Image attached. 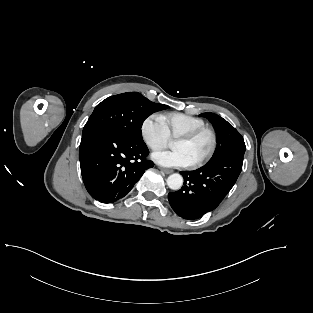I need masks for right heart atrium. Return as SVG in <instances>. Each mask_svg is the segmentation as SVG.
<instances>
[{
  "mask_svg": "<svg viewBox=\"0 0 313 313\" xmlns=\"http://www.w3.org/2000/svg\"><path fill=\"white\" fill-rule=\"evenodd\" d=\"M140 131L144 142L152 150L165 147L170 140L161 116L157 114L146 117L141 124Z\"/></svg>",
  "mask_w": 313,
  "mask_h": 313,
  "instance_id": "obj_1",
  "label": "right heart atrium"
}]
</instances>
